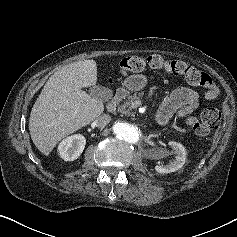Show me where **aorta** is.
Here are the masks:
<instances>
[{
  "label": "aorta",
  "mask_w": 237,
  "mask_h": 237,
  "mask_svg": "<svg viewBox=\"0 0 237 237\" xmlns=\"http://www.w3.org/2000/svg\"><path fill=\"white\" fill-rule=\"evenodd\" d=\"M113 132L118 138L128 143H136L140 138V129L136 125L127 122L115 123Z\"/></svg>",
  "instance_id": "1"
}]
</instances>
